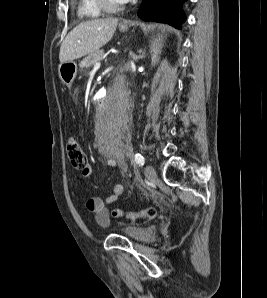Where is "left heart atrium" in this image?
Instances as JSON below:
<instances>
[{"label": "left heart atrium", "instance_id": "39dd6f15", "mask_svg": "<svg viewBox=\"0 0 267 298\" xmlns=\"http://www.w3.org/2000/svg\"><path fill=\"white\" fill-rule=\"evenodd\" d=\"M129 0H119L120 3H126L128 2Z\"/></svg>", "mask_w": 267, "mask_h": 298}]
</instances>
